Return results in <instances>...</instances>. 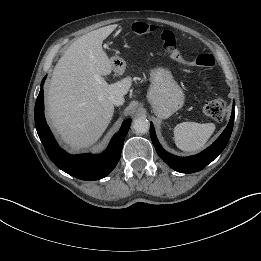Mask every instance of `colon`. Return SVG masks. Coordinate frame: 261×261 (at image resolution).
<instances>
[{"instance_id":"1","label":"colon","mask_w":261,"mask_h":261,"mask_svg":"<svg viewBox=\"0 0 261 261\" xmlns=\"http://www.w3.org/2000/svg\"><path fill=\"white\" fill-rule=\"evenodd\" d=\"M132 30L136 34H148L156 32L158 28L150 24L138 22L133 24ZM160 36L166 51L174 61L199 68H212L215 65V59L209 52H202L193 61L185 62L177 48L174 34L168 30H161ZM204 113L212 119L222 120L226 115V104L222 99H213L205 104Z\"/></svg>"}]
</instances>
